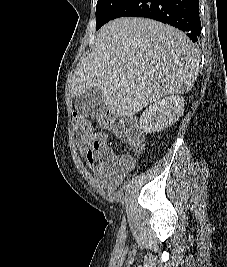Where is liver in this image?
I'll use <instances>...</instances> for the list:
<instances>
[{
    "instance_id": "1",
    "label": "liver",
    "mask_w": 227,
    "mask_h": 267,
    "mask_svg": "<svg viewBox=\"0 0 227 267\" xmlns=\"http://www.w3.org/2000/svg\"><path fill=\"white\" fill-rule=\"evenodd\" d=\"M199 71L197 49L182 31L144 18L124 17L104 25L78 64L71 95L93 88L125 118L148 104L192 89Z\"/></svg>"
}]
</instances>
